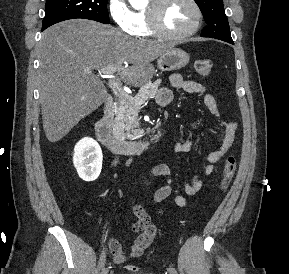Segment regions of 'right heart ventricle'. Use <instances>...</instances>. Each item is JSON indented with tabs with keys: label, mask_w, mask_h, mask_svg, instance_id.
I'll use <instances>...</instances> for the list:
<instances>
[{
	"label": "right heart ventricle",
	"mask_w": 289,
	"mask_h": 274,
	"mask_svg": "<svg viewBox=\"0 0 289 274\" xmlns=\"http://www.w3.org/2000/svg\"><path fill=\"white\" fill-rule=\"evenodd\" d=\"M136 21V29L134 35L139 37H151L153 32L151 31L147 18V11H138L134 13Z\"/></svg>",
	"instance_id": "obj_1"
}]
</instances>
